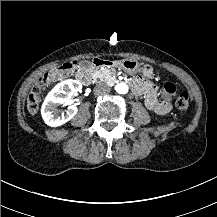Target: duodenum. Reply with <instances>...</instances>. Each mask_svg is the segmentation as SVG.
Wrapping results in <instances>:
<instances>
[{
    "label": "duodenum",
    "instance_id": "1",
    "mask_svg": "<svg viewBox=\"0 0 217 217\" xmlns=\"http://www.w3.org/2000/svg\"><path fill=\"white\" fill-rule=\"evenodd\" d=\"M118 62L114 60H107V59H102V58H95L89 69L86 70L82 75H81V80L84 84H89L91 83L93 79V70L96 68L100 67H115L117 66ZM130 87L133 91L139 89V84L137 81L133 80L130 82Z\"/></svg>",
    "mask_w": 217,
    "mask_h": 217
}]
</instances>
